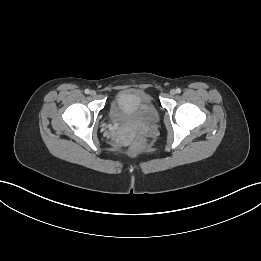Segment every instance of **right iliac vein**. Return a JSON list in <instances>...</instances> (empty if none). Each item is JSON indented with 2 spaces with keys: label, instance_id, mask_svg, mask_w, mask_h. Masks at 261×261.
Here are the masks:
<instances>
[{
  "label": "right iliac vein",
  "instance_id": "obj_1",
  "mask_svg": "<svg viewBox=\"0 0 261 261\" xmlns=\"http://www.w3.org/2000/svg\"><path fill=\"white\" fill-rule=\"evenodd\" d=\"M90 95L91 96H95L96 95V92L94 90L90 91Z\"/></svg>",
  "mask_w": 261,
  "mask_h": 261
}]
</instances>
